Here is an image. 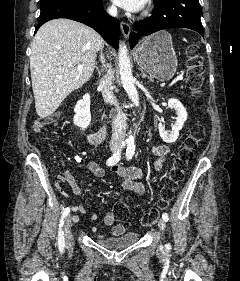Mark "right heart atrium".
Here are the masks:
<instances>
[{"label":"right heart atrium","mask_w":240,"mask_h":281,"mask_svg":"<svg viewBox=\"0 0 240 281\" xmlns=\"http://www.w3.org/2000/svg\"><path fill=\"white\" fill-rule=\"evenodd\" d=\"M107 11H108V13H109L110 15H115V14H116V9H115V7L112 6V5H109V6L107 7Z\"/></svg>","instance_id":"obj_1"}]
</instances>
